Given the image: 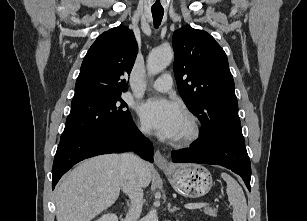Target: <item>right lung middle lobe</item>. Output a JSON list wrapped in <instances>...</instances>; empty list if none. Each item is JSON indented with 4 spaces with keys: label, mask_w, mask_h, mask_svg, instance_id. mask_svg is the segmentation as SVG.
<instances>
[{
    "label": "right lung middle lobe",
    "mask_w": 307,
    "mask_h": 221,
    "mask_svg": "<svg viewBox=\"0 0 307 221\" xmlns=\"http://www.w3.org/2000/svg\"><path fill=\"white\" fill-rule=\"evenodd\" d=\"M62 140L94 130L107 128L131 119L121 94L72 103Z\"/></svg>",
    "instance_id": "obj_1"
}]
</instances>
